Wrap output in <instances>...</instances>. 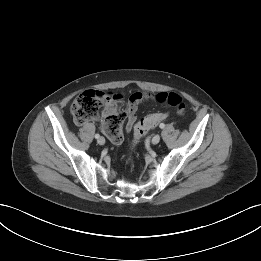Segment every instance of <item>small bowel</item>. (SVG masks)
<instances>
[{
  "instance_id": "c3829d8e",
  "label": "small bowel",
  "mask_w": 261,
  "mask_h": 261,
  "mask_svg": "<svg viewBox=\"0 0 261 261\" xmlns=\"http://www.w3.org/2000/svg\"><path fill=\"white\" fill-rule=\"evenodd\" d=\"M116 96H117V102L122 105L124 103V95L118 94ZM144 101H157V95L150 93V92H143V91H135L130 95L128 102H127L126 109H125L126 110V119H127L126 124H125L126 132L132 131V129L136 123V120H137L138 105ZM112 113H114L113 108H107L106 110H104V112H103L104 119L107 116L111 115ZM103 123H104V121H103ZM103 123H102V126H103Z\"/></svg>"
}]
</instances>
